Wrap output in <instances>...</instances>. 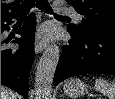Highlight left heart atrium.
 <instances>
[{
    "label": "left heart atrium",
    "mask_w": 115,
    "mask_h": 99,
    "mask_svg": "<svg viewBox=\"0 0 115 99\" xmlns=\"http://www.w3.org/2000/svg\"><path fill=\"white\" fill-rule=\"evenodd\" d=\"M52 30L49 27H42L38 34H37V39L41 42H47L51 37H52Z\"/></svg>",
    "instance_id": "39dd6f15"
}]
</instances>
